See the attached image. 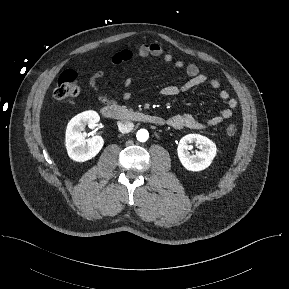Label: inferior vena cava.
<instances>
[{"label": "inferior vena cava", "instance_id": "obj_1", "mask_svg": "<svg viewBox=\"0 0 289 289\" xmlns=\"http://www.w3.org/2000/svg\"><path fill=\"white\" fill-rule=\"evenodd\" d=\"M134 128V124L130 121H122L118 124V129L121 133H129Z\"/></svg>", "mask_w": 289, "mask_h": 289}]
</instances>
